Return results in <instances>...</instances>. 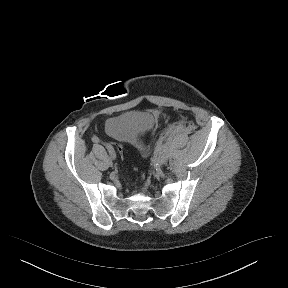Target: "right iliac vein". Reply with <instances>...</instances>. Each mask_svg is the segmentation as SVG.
<instances>
[{
    "label": "right iliac vein",
    "instance_id": "right-iliac-vein-1",
    "mask_svg": "<svg viewBox=\"0 0 288 288\" xmlns=\"http://www.w3.org/2000/svg\"><path fill=\"white\" fill-rule=\"evenodd\" d=\"M109 164H110V166H112V165H113V162H112V160H111V159H109Z\"/></svg>",
    "mask_w": 288,
    "mask_h": 288
}]
</instances>
